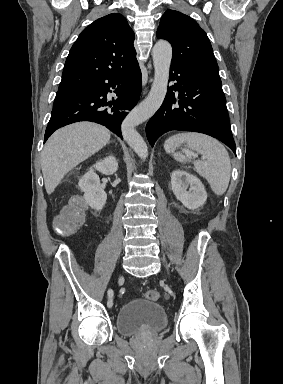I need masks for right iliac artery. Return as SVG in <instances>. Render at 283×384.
Here are the masks:
<instances>
[{"mask_svg": "<svg viewBox=\"0 0 283 384\" xmlns=\"http://www.w3.org/2000/svg\"><path fill=\"white\" fill-rule=\"evenodd\" d=\"M107 295H108L107 306L109 308H111L113 306V290L109 289L108 292H107Z\"/></svg>", "mask_w": 283, "mask_h": 384, "instance_id": "obj_1", "label": "right iliac artery"}]
</instances>
